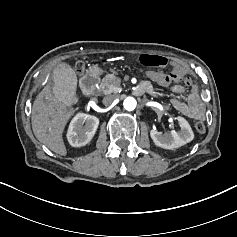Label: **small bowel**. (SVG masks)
<instances>
[{"label":"small bowel","instance_id":"c3829d8e","mask_svg":"<svg viewBox=\"0 0 237 237\" xmlns=\"http://www.w3.org/2000/svg\"><path fill=\"white\" fill-rule=\"evenodd\" d=\"M171 72H181L186 73L185 76L180 77L176 81L168 84L169 88L172 92L177 94H184L185 89L182 85L179 84V81L184 79V85L190 87L191 90L187 95L186 100H182L179 98H173L171 100L172 106L182 114L186 115L189 118L196 119V120H203L206 117V106L202 100L200 95L198 86L195 84L194 80L188 76L187 69L183 68L177 63H171ZM164 73L149 70L147 71V76L154 82H159L160 79L164 77ZM138 93H150L152 95H159L160 93L156 91L153 85L148 82L144 81L140 83L136 89Z\"/></svg>","mask_w":237,"mask_h":237}]
</instances>
